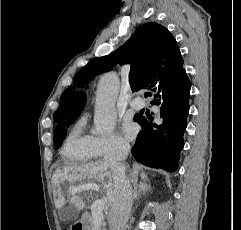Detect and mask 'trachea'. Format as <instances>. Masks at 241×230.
Returning a JSON list of instances; mask_svg holds the SVG:
<instances>
[{
	"mask_svg": "<svg viewBox=\"0 0 241 230\" xmlns=\"http://www.w3.org/2000/svg\"><path fill=\"white\" fill-rule=\"evenodd\" d=\"M147 95H149V93L146 92V93H145V96H147Z\"/></svg>",
	"mask_w": 241,
	"mask_h": 230,
	"instance_id": "obj_1",
	"label": "trachea"
}]
</instances>
